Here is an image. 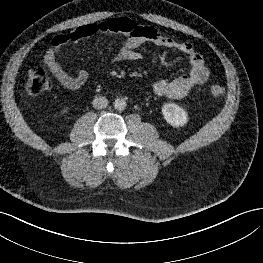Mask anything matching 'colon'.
<instances>
[{
	"mask_svg": "<svg viewBox=\"0 0 263 263\" xmlns=\"http://www.w3.org/2000/svg\"><path fill=\"white\" fill-rule=\"evenodd\" d=\"M52 86V80L48 73L41 67H33L28 72L27 90L32 95H38L48 91ZM209 92L213 97H219L224 93L220 84H212Z\"/></svg>",
	"mask_w": 263,
	"mask_h": 263,
	"instance_id": "obj_1",
	"label": "colon"
}]
</instances>
